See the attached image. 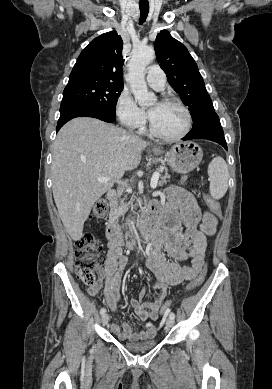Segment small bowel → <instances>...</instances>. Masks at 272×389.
Masks as SVG:
<instances>
[{"mask_svg":"<svg viewBox=\"0 0 272 389\" xmlns=\"http://www.w3.org/2000/svg\"><path fill=\"white\" fill-rule=\"evenodd\" d=\"M166 197V206L156 203L152 207V210L162 215L164 229L158 233L147 262L148 270L156 279L154 286L160 291V296L153 302H145V290L142 289L139 298L129 299L128 303L136 316L145 322V329L133 331L126 321H117L111 325V331L121 340L139 341L154 337L157 330L154 322L158 319L168 287L180 285L202 270L206 238L216 231L217 217L210 210H202L190 192L170 186L166 189ZM163 249L174 259L173 262L165 258ZM187 260L191 266L181 263ZM126 265L127 258L120 246L109 243L105 264L97 271L99 279L88 289V293L95 296L103 289L107 304L112 310H117Z\"/></svg>","mask_w":272,"mask_h":389,"instance_id":"c3829d8e","label":"small bowel"}]
</instances>
